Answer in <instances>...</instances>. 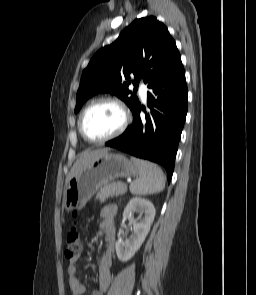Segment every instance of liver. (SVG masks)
I'll use <instances>...</instances> for the list:
<instances>
[{"label": "liver", "mask_w": 256, "mask_h": 295, "mask_svg": "<svg viewBox=\"0 0 256 295\" xmlns=\"http://www.w3.org/2000/svg\"><path fill=\"white\" fill-rule=\"evenodd\" d=\"M109 149H97V150H88L83 152L80 157L77 159V161L74 163V165L72 166L69 174L66 177V181H65V185L67 186L69 181L72 179V177L74 176V174L80 169L82 168L84 165H86L87 163H89L90 161L98 158L99 156H101L102 154L108 152Z\"/></svg>", "instance_id": "obj_1"}]
</instances>
